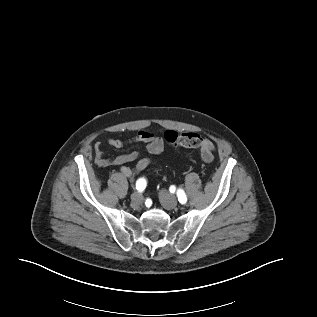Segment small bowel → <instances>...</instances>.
Wrapping results in <instances>:
<instances>
[{
  "label": "small bowel",
  "instance_id": "1",
  "mask_svg": "<svg viewBox=\"0 0 317 317\" xmlns=\"http://www.w3.org/2000/svg\"><path fill=\"white\" fill-rule=\"evenodd\" d=\"M132 143H145L149 151L153 154H158L164 150V141L161 137L155 136L149 131H139L137 135L128 140H121L117 138H108L107 144L113 148H123L126 145ZM213 143L202 138V143L200 145V154L204 161L210 162L213 159ZM95 164L100 168L114 167L118 166L120 172L128 178H132L144 170L151 162L148 157H140L138 151H131L129 153L121 154L116 157H107L100 144L95 146ZM137 161L134 167H128L126 163Z\"/></svg>",
  "mask_w": 317,
  "mask_h": 317
}]
</instances>
